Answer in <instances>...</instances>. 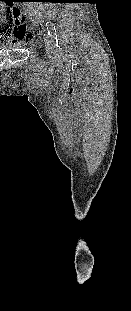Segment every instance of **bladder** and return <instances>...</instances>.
Listing matches in <instances>:
<instances>
[{
	"label": "bladder",
	"instance_id": "bladder-1",
	"mask_svg": "<svg viewBox=\"0 0 131 311\" xmlns=\"http://www.w3.org/2000/svg\"><path fill=\"white\" fill-rule=\"evenodd\" d=\"M15 48H18V44H9L6 46H0V50L1 49H15Z\"/></svg>",
	"mask_w": 131,
	"mask_h": 311
}]
</instances>
